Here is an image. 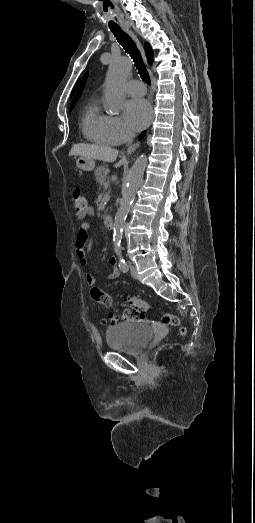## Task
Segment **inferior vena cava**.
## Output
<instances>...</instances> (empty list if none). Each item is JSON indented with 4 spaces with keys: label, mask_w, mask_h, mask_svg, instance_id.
Wrapping results in <instances>:
<instances>
[{
    "label": "inferior vena cava",
    "mask_w": 255,
    "mask_h": 523,
    "mask_svg": "<svg viewBox=\"0 0 255 523\" xmlns=\"http://www.w3.org/2000/svg\"><path fill=\"white\" fill-rule=\"evenodd\" d=\"M133 138H135V134L134 132H132V130H128L127 132V142H129V144H131V142H133Z\"/></svg>",
    "instance_id": "obj_1"
}]
</instances>
